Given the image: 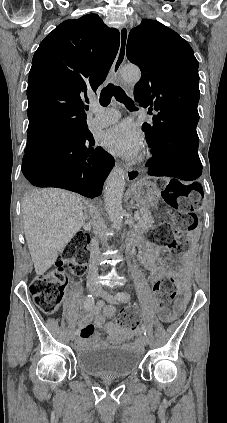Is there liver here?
Listing matches in <instances>:
<instances>
[{
	"mask_svg": "<svg viewBox=\"0 0 227 423\" xmlns=\"http://www.w3.org/2000/svg\"><path fill=\"white\" fill-rule=\"evenodd\" d=\"M22 213L35 271L43 275L85 223L81 198L59 188L33 190L22 202Z\"/></svg>",
	"mask_w": 227,
	"mask_h": 423,
	"instance_id": "6515ba94",
	"label": "liver"
}]
</instances>
